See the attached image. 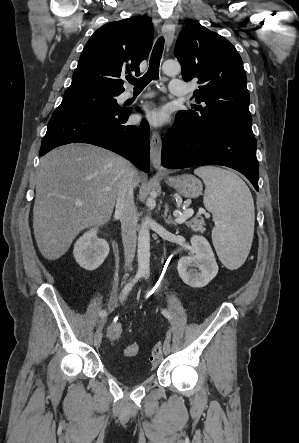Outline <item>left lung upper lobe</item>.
Instances as JSON below:
<instances>
[{"label": "left lung upper lobe", "instance_id": "5c2ea615", "mask_svg": "<svg viewBox=\"0 0 299 443\" xmlns=\"http://www.w3.org/2000/svg\"><path fill=\"white\" fill-rule=\"evenodd\" d=\"M174 55L187 82L198 79L194 110L177 114L203 129L240 127L251 129L250 97L243 62L224 37L200 24L188 25L180 34Z\"/></svg>", "mask_w": 299, "mask_h": 443}]
</instances>
